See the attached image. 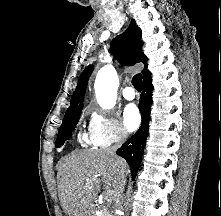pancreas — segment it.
<instances>
[{
    "mask_svg": "<svg viewBox=\"0 0 221 216\" xmlns=\"http://www.w3.org/2000/svg\"><path fill=\"white\" fill-rule=\"evenodd\" d=\"M99 216H113L110 210H108L106 207H103L100 210Z\"/></svg>",
    "mask_w": 221,
    "mask_h": 216,
    "instance_id": "cf45deb5",
    "label": "pancreas"
}]
</instances>
